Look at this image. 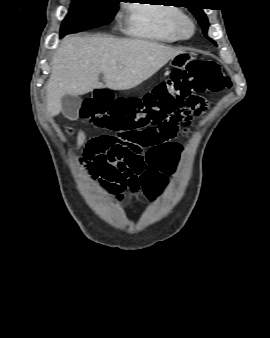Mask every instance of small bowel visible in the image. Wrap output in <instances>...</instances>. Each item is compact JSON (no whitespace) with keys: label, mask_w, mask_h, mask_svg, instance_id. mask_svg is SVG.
I'll return each mask as SVG.
<instances>
[{"label":"small bowel","mask_w":270,"mask_h":338,"mask_svg":"<svg viewBox=\"0 0 270 338\" xmlns=\"http://www.w3.org/2000/svg\"><path fill=\"white\" fill-rule=\"evenodd\" d=\"M176 145L166 142L162 147ZM77 146L81 148L80 165L84 177L96 179L100 184L105 182L109 171L114 169L119 162L135 150L138 154V146L130 144L115 135H97L87 139L83 129L77 132ZM178 148L171 152H164L154 160V168L148 170L145 175L139 177L143 187L157 194L166 184L177 165Z\"/></svg>","instance_id":"c3829d8e"}]
</instances>
